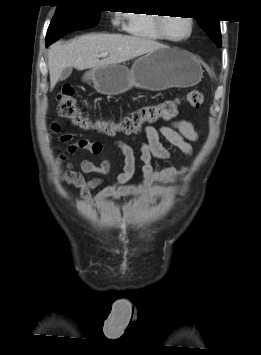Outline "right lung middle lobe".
<instances>
[{"instance_id":"obj_1","label":"right lung middle lobe","mask_w":261,"mask_h":355,"mask_svg":"<svg viewBox=\"0 0 261 355\" xmlns=\"http://www.w3.org/2000/svg\"><path fill=\"white\" fill-rule=\"evenodd\" d=\"M91 5L92 3L87 0H74L57 6L46 40L71 31L94 27L100 19L102 10L94 9L90 7Z\"/></svg>"}]
</instances>
